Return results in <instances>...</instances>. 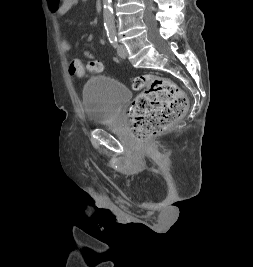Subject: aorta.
I'll return each instance as SVG.
<instances>
[{
	"label": "aorta",
	"instance_id": "1",
	"mask_svg": "<svg viewBox=\"0 0 253 267\" xmlns=\"http://www.w3.org/2000/svg\"><path fill=\"white\" fill-rule=\"evenodd\" d=\"M103 20L106 28H115L111 0H103Z\"/></svg>",
	"mask_w": 253,
	"mask_h": 267
}]
</instances>
